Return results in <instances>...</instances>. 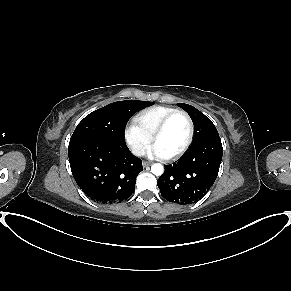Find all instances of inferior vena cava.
I'll use <instances>...</instances> for the list:
<instances>
[{"label":"inferior vena cava","instance_id":"obj_1","mask_svg":"<svg viewBox=\"0 0 291 291\" xmlns=\"http://www.w3.org/2000/svg\"><path fill=\"white\" fill-rule=\"evenodd\" d=\"M132 152L136 156L144 155V148L142 146H133Z\"/></svg>","mask_w":291,"mask_h":291}]
</instances>
